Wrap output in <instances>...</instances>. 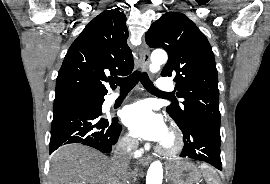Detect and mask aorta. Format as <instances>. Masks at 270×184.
<instances>
[{"label": "aorta", "instance_id": "aorta-1", "mask_svg": "<svg viewBox=\"0 0 270 184\" xmlns=\"http://www.w3.org/2000/svg\"><path fill=\"white\" fill-rule=\"evenodd\" d=\"M151 64L149 69L155 73L160 70L161 65L166 63L167 54L164 51H154L150 57ZM163 168L160 161L151 163L146 177V184H162Z\"/></svg>", "mask_w": 270, "mask_h": 184}]
</instances>
